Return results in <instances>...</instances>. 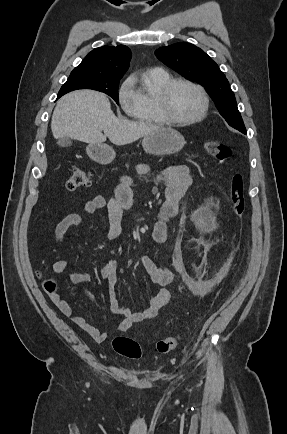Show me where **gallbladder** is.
Listing matches in <instances>:
<instances>
[{"label": "gallbladder", "mask_w": 287, "mask_h": 434, "mask_svg": "<svg viewBox=\"0 0 287 434\" xmlns=\"http://www.w3.org/2000/svg\"><path fill=\"white\" fill-rule=\"evenodd\" d=\"M57 144L61 147H68L72 144V140L68 137L59 138Z\"/></svg>", "instance_id": "bac80fb5"}]
</instances>
